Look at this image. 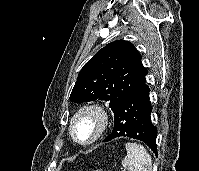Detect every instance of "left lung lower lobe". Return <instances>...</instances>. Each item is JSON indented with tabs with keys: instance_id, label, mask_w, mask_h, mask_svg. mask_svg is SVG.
<instances>
[{
	"instance_id": "0a47b994",
	"label": "left lung lower lobe",
	"mask_w": 199,
	"mask_h": 171,
	"mask_svg": "<svg viewBox=\"0 0 199 171\" xmlns=\"http://www.w3.org/2000/svg\"><path fill=\"white\" fill-rule=\"evenodd\" d=\"M150 88L145 78L121 101L114 111V129L103 141L117 137L141 140L158 155L156 148L157 128L151 122L152 106L149 100Z\"/></svg>"
}]
</instances>
